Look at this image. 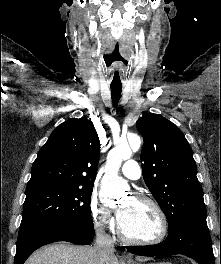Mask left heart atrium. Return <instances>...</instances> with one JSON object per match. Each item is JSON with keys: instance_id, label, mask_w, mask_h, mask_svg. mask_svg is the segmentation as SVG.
Returning a JSON list of instances; mask_svg holds the SVG:
<instances>
[{"instance_id": "39dd6f15", "label": "left heart atrium", "mask_w": 221, "mask_h": 264, "mask_svg": "<svg viewBox=\"0 0 221 264\" xmlns=\"http://www.w3.org/2000/svg\"><path fill=\"white\" fill-rule=\"evenodd\" d=\"M126 214H127V211L125 209H120L118 211V214L117 215H118V219H119V222L120 223L125 219Z\"/></svg>"}]
</instances>
